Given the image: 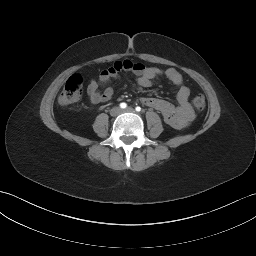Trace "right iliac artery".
I'll return each instance as SVG.
<instances>
[{"mask_svg":"<svg viewBox=\"0 0 256 256\" xmlns=\"http://www.w3.org/2000/svg\"><path fill=\"white\" fill-rule=\"evenodd\" d=\"M120 107L122 108V109H125L126 107H127V104L126 103H120Z\"/></svg>","mask_w":256,"mask_h":256,"instance_id":"obj_1","label":"right iliac artery"}]
</instances>
